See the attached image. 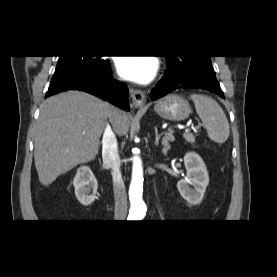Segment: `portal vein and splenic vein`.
Masks as SVG:
<instances>
[{
  "instance_id": "obj_1",
  "label": "portal vein and splenic vein",
  "mask_w": 277,
  "mask_h": 277,
  "mask_svg": "<svg viewBox=\"0 0 277 277\" xmlns=\"http://www.w3.org/2000/svg\"><path fill=\"white\" fill-rule=\"evenodd\" d=\"M189 132V129L187 128V129H185V133H188Z\"/></svg>"
}]
</instances>
